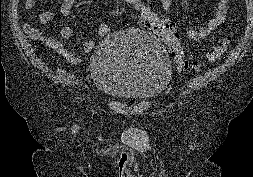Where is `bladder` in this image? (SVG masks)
I'll list each match as a JSON object with an SVG mask.
<instances>
[{"instance_id": "31cf9c89", "label": "bladder", "mask_w": 253, "mask_h": 177, "mask_svg": "<svg viewBox=\"0 0 253 177\" xmlns=\"http://www.w3.org/2000/svg\"><path fill=\"white\" fill-rule=\"evenodd\" d=\"M90 70L98 89L120 100L153 99L171 75V64L160 43L146 34L114 32L94 51Z\"/></svg>"}]
</instances>
